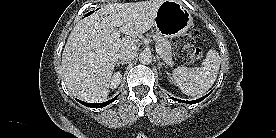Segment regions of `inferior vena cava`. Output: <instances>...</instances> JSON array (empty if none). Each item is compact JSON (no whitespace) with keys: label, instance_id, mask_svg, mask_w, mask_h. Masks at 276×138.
Returning a JSON list of instances; mask_svg holds the SVG:
<instances>
[{"label":"inferior vena cava","instance_id":"inferior-vena-cava-1","mask_svg":"<svg viewBox=\"0 0 276 138\" xmlns=\"http://www.w3.org/2000/svg\"><path fill=\"white\" fill-rule=\"evenodd\" d=\"M137 51V46L121 50L118 54V58L124 62H130L135 58Z\"/></svg>","mask_w":276,"mask_h":138}]
</instances>
